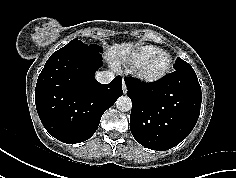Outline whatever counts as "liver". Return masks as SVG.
Here are the masks:
<instances>
[{
  "label": "liver",
  "instance_id": "6515ba94",
  "mask_svg": "<svg viewBox=\"0 0 236 178\" xmlns=\"http://www.w3.org/2000/svg\"><path fill=\"white\" fill-rule=\"evenodd\" d=\"M133 47V43L114 44L106 50L105 58L112 59L115 57H124L133 49Z\"/></svg>",
  "mask_w": 236,
  "mask_h": 178
}]
</instances>
